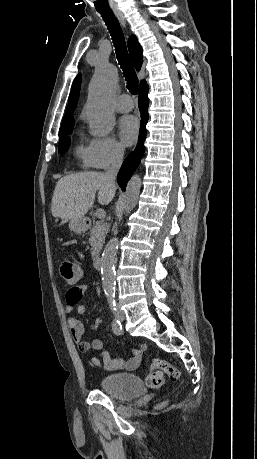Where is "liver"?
Wrapping results in <instances>:
<instances>
[{"mask_svg":"<svg viewBox=\"0 0 257 459\" xmlns=\"http://www.w3.org/2000/svg\"><path fill=\"white\" fill-rule=\"evenodd\" d=\"M116 188L112 186L105 173L81 172L59 179L56 183L51 212L53 217L68 220L82 218L92 207L98 192V202L109 204L115 196Z\"/></svg>","mask_w":257,"mask_h":459,"instance_id":"liver-1","label":"liver"}]
</instances>
